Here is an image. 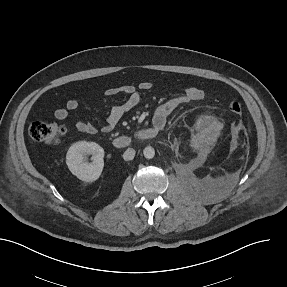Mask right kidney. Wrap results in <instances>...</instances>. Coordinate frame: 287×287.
<instances>
[{"instance_id":"obj_1","label":"right kidney","mask_w":287,"mask_h":287,"mask_svg":"<svg viewBox=\"0 0 287 287\" xmlns=\"http://www.w3.org/2000/svg\"><path fill=\"white\" fill-rule=\"evenodd\" d=\"M91 154L92 162L84 156ZM104 149L95 142L79 141L74 143L66 154V164L73 175L85 182L96 181L104 167Z\"/></svg>"}]
</instances>
